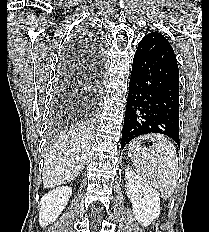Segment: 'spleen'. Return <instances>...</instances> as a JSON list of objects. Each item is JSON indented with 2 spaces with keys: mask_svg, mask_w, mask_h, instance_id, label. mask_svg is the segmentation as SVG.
I'll list each match as a JSON object with an SVG mask.
<instances>
[{
  "mask_svg": "<svg viewBox=\"0 0 209 232\" xmlns=\"http://www.w3.org/2000/svg\"><path fill=\"white\" fill-rule=\"evenodd\" d=\"M150 139L152 147L141 146ZM128 155L135 171L160 191L161 197L169 199L178 181V157L175 146L163 135L152 134L133 140L128 145Z\"/></svg>",
  "mask_w": 209,
  "mask_h": 232,
  "instance_id": "1",
  "label": "spleen"
}]
</instances>
